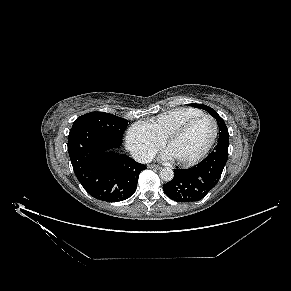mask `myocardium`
I'll return each instance as SVG.
<instances>
[{"instance_id": "f54148a6", "label": "myocardium", "mask_w": 291, "mask_h": 291, "mask_svg": "<svg viewBox=\"0 0 291 291\" xmlns=\"http://www.w3.org/2000/svg\"><path fill=\"white\" fill-rule=\"evenodd\" d=\"M201 118H207L209 119L212 124H213V134L211 137V140L209 141L208 145L205 147V149L196 157L189 159V160H185V161H180V160H176L174 159V161L176 162L177 165L182 166V167H188V166H192L195 165L197 163H199L200 161H202L211 151V149L213 148V146L215 145V142L217 140V136H218V124L217 121L215 120L214 117H212L209 114L206 113H201L199 115L193 116L191 118H189L188 120H186L184 123H182L179 127H177L175 130H173L165 139L163 142L164 147L167 149L169 147V145L176 140L177 138H179L181 135L184 134V132L197 120L201 119Z\"/></svg>"}]
</instances>
